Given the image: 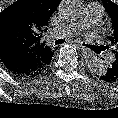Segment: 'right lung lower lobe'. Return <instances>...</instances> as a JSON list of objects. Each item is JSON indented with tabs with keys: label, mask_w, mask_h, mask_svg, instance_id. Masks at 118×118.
Segmentation results:
<instances>
[{
	"label": "right lung lower lobe",
	"mask_w": 118,
	"mask_h": 118,
	"mask_svg": "<svg viewBox=\"0 0 118 118\" xmlns=\"http://www.w3.org/2000/svg\"><path fill=\"white\" fill-rule=\"evenodd\" d=\"M0 61L15 76L33 77L40 73L36 59L29 55H1Z\"/></svg>",
	"instance_id": "98d812e1"
}]
</instances>
